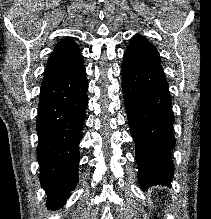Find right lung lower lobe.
<instances>
[{
	"mask_svg": "<svg viewBox=\"0 0 211 219\" xmlns=\"http://www.w3.org/2000/svg\"><path fill=\"white\" fill-rule=\"evenodd\" d=\"M88 84L82 59L41 85L36 130L40 182L47 206L62 207L78 180V144L87 107Z\"/></svg>",
	"mask_w": 211,
	"mask_h": 219,
	"instance_id": "98d812e1",
	"label": "right lung lower lobe"
}]
</instances>
